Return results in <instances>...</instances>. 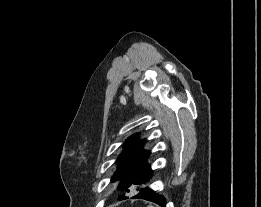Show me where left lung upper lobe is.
Here are the masks:
<instances>
[{"label":"left lung upper lobe","instance_id":"left-lung-upper-lobe-1","mask_svg":"<svg viewBox=\"0 0 261 207\" xmlns=\"http://www.w3.org/2000/svg\"><path fill=\"white\" fill-rule=\"evenodd\" d=\"M137 137L138 134H134L126 141L127 146L118 158L119 165L111 179L112 182L122 179L118 185V189L121 191L128 192L130 186L146 182L152 174L151 167L146 164L150 152L141 150L144 141Z\"/></svg>","mask_w":261,"mask_h":207}]
</instances>
